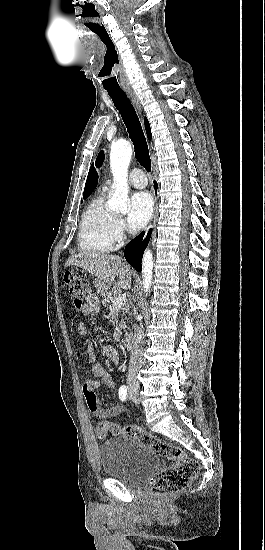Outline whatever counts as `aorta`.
Returning a JSON list of instances; mask_svg holds the SVG:
<instances>
[{"label": "aorta", "instance_id": "1", "mask_svg": "<svg viewBox=\"0 0 265 550\" xmlns=\"http://www.w3.org/2000/svg\"><path fill=\"white\" fill-rule=\"evenodd\" d=\"M132 156V147L128 141L115 143L111 146L110 165L114 177V191L108 201V206L112 210H118L121 213L129 211L128 205V167ZM153 254L147 249L142 260L143 288L147 293L150 291L153 278Z\"/></svg>", "mask_w": 265, "mask_h": 550}]
</instances>
